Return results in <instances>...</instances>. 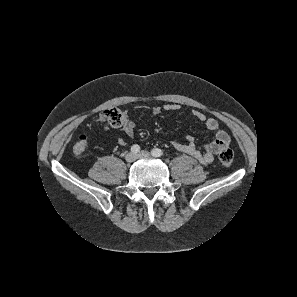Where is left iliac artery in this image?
Here are the masks:
<instances>
[{
  "label": "left iliac artery",
  "mask_w": 297,
  "mask_h": 297,
  "mask_svg": "<svg viewBox=\"0 0 297 297\" xmlns=\"http://www.w3.org/2000/svg\"><path fill=\"white\" fill-rule=\"evenodd\" d=\"M151 154L154 156V157H160L163 155V151L159 148H155L151 151Z\"/></svg>",
  "instance_id": "1"
}]
</instances>
